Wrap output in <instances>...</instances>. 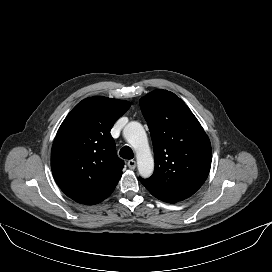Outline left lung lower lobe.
<instances>
[{"label": "left lung lower lobe", "instance_id": "1", "mask_svg": "<svg viewBox=\"0 0 272 272\" xmlns=\"http://www.w3.org/2000/svg\"><path fill=\"white\" fill-rule=\"evenodd\" d=\"M140 180H141V179H140ZM152 195L155 196L156 198H158V199L164 201V202H168V203H175V202H178V201H175V200H170V199H166V198H163V197H159V196H157V195H155V194H152Z\"/></svg>", "mask_w": 272, "mask_h": 272}]
</instances>
